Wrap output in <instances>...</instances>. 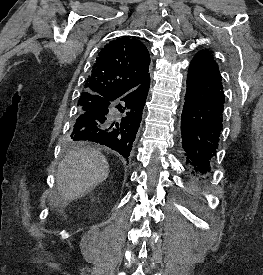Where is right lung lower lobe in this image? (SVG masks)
Here are the masks:
<instances>
[{"label": "right lung lower lobe", "instance_id": "98d812e1", "mask_svg": "<svg viewBox=\"0 0 263 275\" xmlns=\"http://www.w3.org/2000/svg\"><path fill=\"white\" fill-rule=\"evenodd\" d=\"M149 86L150 79L140 91L132 96L117 94L106 99L104 107L80 113L72 129L71 139L98 143L128 158L140 126ZM120 101L125 104H120ZM141 103H143L142 108H140ZM112 107H116L124 114V117H113Z\"/></svg>", "mask_w": 263, "mask_h": 275}]
</instances>
